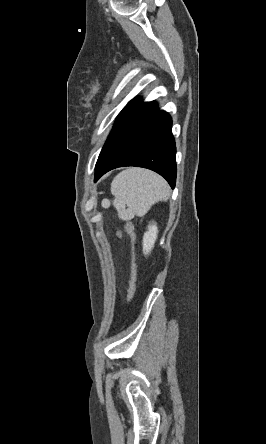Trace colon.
Listing matches in <instances>:
<instances>
[{"mask_svg":"<svg viewBox=\"0 0 266 444\" xmlns=\"http://www.w3.org/2000/svg\"><path fill=\"white\" fill-rule=\"evenodd\" d=\"M125 230L126 234L129 239L130 248H131V267H130V278L128 283V290H127V299L128 302H131L135 287H136V279H137V262H136V255H135V231L134 226L131 222H126L125 224ZM118 235H121V232L118 231Z\"/></svg>","mask_w":266,"mask_h":444,"instance_id":"colon-1","label":"colon"}]
</instances>
